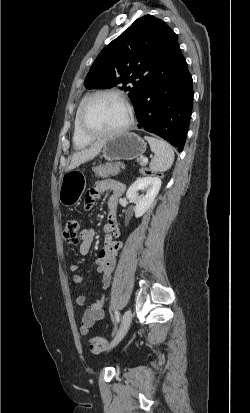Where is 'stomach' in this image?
I'll return each instance as SVG.
<instances>
[{"mask_svg": "<svg viewBox=\"0 0 250 413\" xmlns=\"http://www.w3.org/2000/svg\"><path fill=\"white\" fill-rule=\"evenodd\" d=\"M102 156L107 161L133 160L143 155L146 142L137 134L126 132L104 140ZM86 188L84 175L79 171L66 172L59 188L60 203L66 207L77 204Z\"/></svg>", "mask_w": 250, "mask_h": 413, "instance_id": "obj_1", "label": "stomach"}]
</instances>
